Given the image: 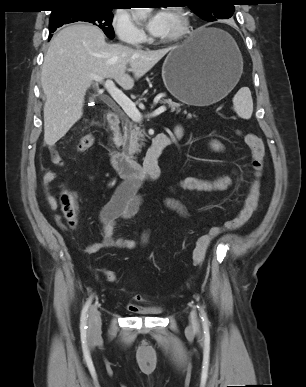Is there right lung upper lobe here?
Wrapping results in <instances>:
<instances>
[{
    "mask_svg": "<svg viewBox=\"0 0 306 387\" xmlns=\"http://www.w3.org/2000/svg\"><path fill=\"white\" fill-rule=\"evenodd\" d=\"M56 9L52 11L58 12L67 7L73 6H104L111 7L114 0H55Z\"/></svg>",
    "mask_w": 306,
    "mask_h": 387,
    "instance_id": "cb5924a9",
    "label": "right lung upper lobe"
}]
</instances>
